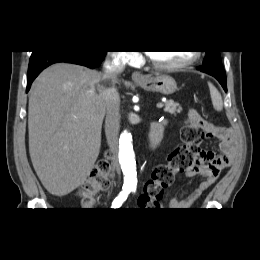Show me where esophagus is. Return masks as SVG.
Listing matches in <instances>:
<instances>
[{
  "instance_id": "1",
  "label": "esophagus",
  "mask_w": 260,
  "mask_h": 260,
  "mask_svg": "<svg viewBox=\"0 0 260 260\" xmlns=\"http://www.w3.org/2000/svg\"><path fill=\"white\" fill-rule=\"evenodd\" d=\"M132 79H133V80H142V79H144V76L141 74V72H139V71H134V72L132 73Z\"/></svg>"
}]
</instances>
